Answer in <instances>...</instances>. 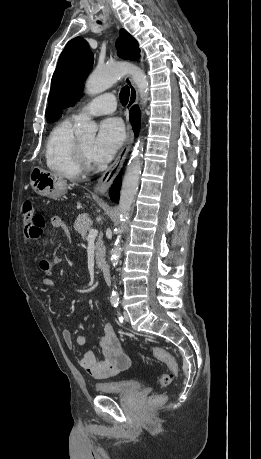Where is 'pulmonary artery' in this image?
<instances>
[{
	"label": "pulmonary artery",
	"instance_id": "obj_1",
	"mask_svg": "<svg viewBox=\"0 0 261 459\" xmlns=\"http://www.w3.org/2000/svg\"><path fill=\"white\" fill-rule=\"evenodd\" d=\"M116 105L117 102L114 94L104 93L90 100L79 112L90 115L111 114L115 111ZM79 112L74 113L73 117L76 118Z\"/></svg>",
	"mask_w": 261,
	"mask_h": 459
}]
</instances>
